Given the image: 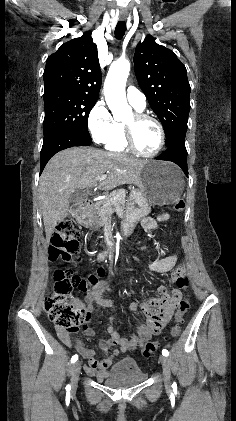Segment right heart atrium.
I'll use <instances>...</instances> for the list:
<instances>
[{
    "label": "right heart atrium",
    "mask_w": 236,
    "mask_h": 421,
    "mask_svg": "<svg viewBox=\"0 0 236 421\" xmlns=\"http://www.w3.org/2000/svg\"><path fill=\"white\" fill-rule=\"evenodd\" d=\"M117 121L105 102L95 103L88 116V129L96 144H105L116 128Z\"/></svg>",
    "instance_id": "d8ad5b80"
}]
</instances>
